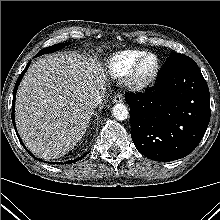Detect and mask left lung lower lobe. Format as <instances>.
I'll return each instance as SVG.
<instances>
[{
    "instance_id": "obj_1",
    "label": "left lung lower lobe",
    "mask_w": 220,
    "mask_h": 220,
    "mask_svg": "<svg viewBox=\"0 0 220 220\" xmlns=\"http://www.w3.org/2000/svg\"><path fill=\"white\" fill-rule=\"evenodd\" d=\"M125 99L132 140L152 160L173 161L190 154L210 121L208 85L188 56L169 57L155 87Z\"/></svg>"
}]
</instances>
